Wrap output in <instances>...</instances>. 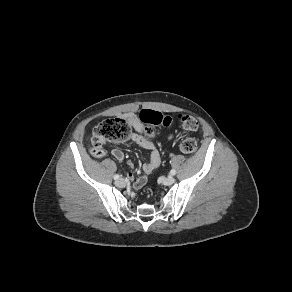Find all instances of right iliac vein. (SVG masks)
<instances>
[{
	"label": "right iliac vein",
	"instance_id": "1",
	"mask_svg": "<svg viewBox=\"0 0 292 292\" xmlns=\"http://www.w3.org/2000/svg\"><path fill=\"white\" fill-rule=\"evenodd\" d=\"M115 185L118 187H124V185H125L124 179L120 178V179L116 180Z\"/></svg>",
	"mask_w": 292,
	"mask_h": 292
}]
</instances>
